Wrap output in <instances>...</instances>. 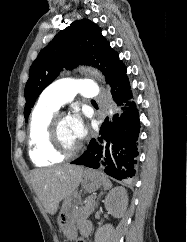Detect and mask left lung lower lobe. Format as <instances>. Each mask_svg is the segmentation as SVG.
Masks as SVG:
<instances>
[{"instance_id":"obj_1","label":"left lung lower lobe","mask_w":187,"mask_h":242,"mask_svg":"<svg viewBox=\"0 0 187 242\" xmlns=\"http://www.w3.org/2000/svg\"><path fill=\"white\" fill-rule=\"evenodd\" d=\"M110 92L120 107L118 113L105 119L100 128L101 137L92 139L87 150L71 164L99 168L122 180L134 176L140 120L126 74L110 86Z\"/></svg>"}]
</instances>
